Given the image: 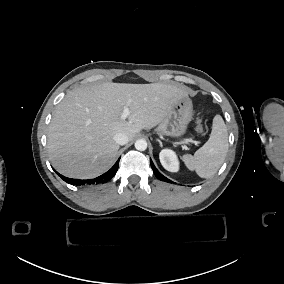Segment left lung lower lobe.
<instances>
[{
	"label": "left lung lower lobe",
	"instance_id": "obj_1",
	"mask_svg": "<svg viewBox=\"0 0 284 284\" xmlns=\"http://www.w3.org/2000/svg\"><path fill=\"white\" fill-rule=\"evenodd\" d=\"M150 164H151V167L153 169V172H154V175L161 181H166V182H170L172 183L171 180L167 179L165 176H163L155 167V165L153 164L152 160H150Z\"/></svg>",
	"mask_w": 284,
	"mask_h": 284
}]
</instances>
